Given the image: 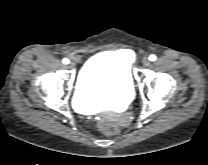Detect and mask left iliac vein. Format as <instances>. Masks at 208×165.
Segmentation results:
<instances>
[{
    "label": "left iliac vein",
    "mask_w": 208,
    "mask_h": 165,
    "mask_svg": "<svg viewBox=\"0 0 208 165\" xmlns=\"http://www.w3.org/2000/svg\"><path fill=\"white\" fill-rule=\"evenodd\" d=\"M142 63H143L144 66L147 67V66L150 65V60H149L148 58L145 57V58H143Z\"/></svg>",
    "instance_id": "left-iliac-vein-1"
}]
</instances>
